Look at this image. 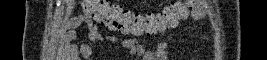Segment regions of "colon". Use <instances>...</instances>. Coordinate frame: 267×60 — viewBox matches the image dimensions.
I'll list each match as a JSON object with an SVG mask.
<instances>
[{
	"label": "colon",
	"instance_id": "obj_1",
	"mask_svg": "<svg viewBox=\"0 0 267 60\" xmlns=\"http://www.w3.org/2000/svg\"><path fill=\"white\" fill-rule=\"evenodd\" d=\"M183 3L175 4L157 14H133L121 7L102 0H83V14L95 21L104 23L108 28L122 33L154 35L177 25L182 16Z\"/></svg>",
	"mask_w": 267,
	"mask_h": 60
}]
</instances>
